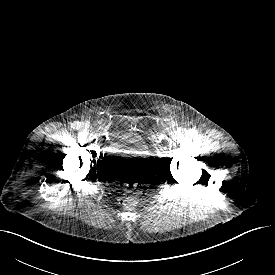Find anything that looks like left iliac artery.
<instances>
[{
	"mask_svg": "<svg viewBox=\"0 0 275 275\" xmlns=\"http://www.w3.org/2000/svg\"><path fill=\"white\" fill-rule=\"evenodd\" d=\"M190 135H191L192 137H196V136L198 135V133H197V131H195V130H190Z\"/></svg>",
	"mask_w": 275,
	"mask_h": 275,
	"instance_id": "1",
	"label": "left iliac artery"
}]
</instances>
